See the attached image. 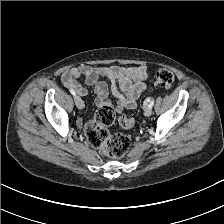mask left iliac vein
Returning a JSON list of instances; mask_svg holds the SVG:
<instances>
[{
    "label": "left iliac vein",
    "mask_w": 224,
    "mask_h": 224,
    "mask_svg": "<svg viewBox=\"0 0 224 224\" xmlns=\"http://www.w3.org/2000/svg\"><path fill=\"white\" fill-rule=\"evenodd\" d=\"M151 114H152V107L150 105H148L144 109V115L149 117Z\"/></svg>",
    "instance_id": "4c4485c4"
}]
</instances>
